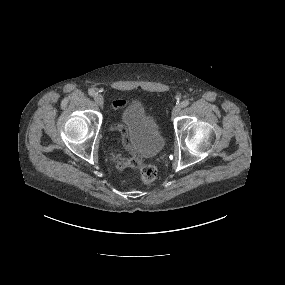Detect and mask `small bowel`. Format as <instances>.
Masks as SVG:
<instances>
[{"label": "small bowel", "instance_id": "obj_1", "mask_svg": "<svg viewBox=\"0 0 285 285\" xmlns=\"http://www.w3.org/2000/svg\"><path fill=\"white\" fill-rule=\"evenodd\" d=\"M125 105H126V101L116 100L112 103V108L118 109V108L124 107ZM117 167L120 170H124V169L130 167V165L128 164V160H120L117 164Z\"/></svg>", "mask_w": 285, "mask_h": 285}]
</instances>
